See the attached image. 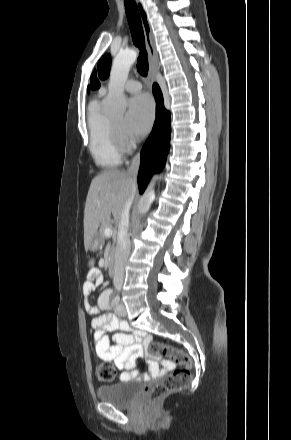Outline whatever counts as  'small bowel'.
<instances>
[{
  "mask_svg": "<svg viewBox=\"0 0 291 440\" xmlns=\"http://www.w3.org/2000/svg\"><path fill=\"white\" fill-rule=\"evenodd\" d=\"M94 282H101V274L94 270L91 279L83 286V305L90 314H97L98 308L91 302V294L95 289ZM108 295L104 294L99 298V307L108 308ZM117 323V318L105 314L96 315L92 320L94 331L93 342L98 357L111 363L121 373L123 379L146 382L162 377L175 368V363L170 360H158L148 357L149 372L142 373L134 370L136 362L145 355V351L152 335L142 331H135L133 334L117 333L113 335L114 344L110 345L107 332ZM123 327L127 328L123 323Z\"/></svg>",
  "mask_w": 291,
  "mask_h": 440,
  "instance_id": "small-bowel-1",
  "label": "small bowel"
}]
</instances>
